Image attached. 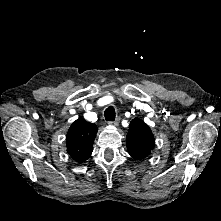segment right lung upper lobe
Here are the masks:
<instances>
[{
	"mask_svg": "<svg viewBox=\"0 0 221 221\" xmlns=\"http://www.w3.org/2000/svg\"><path fill=\"white\" fill-rule=\"evenodd\" d=\"M97 131L95 124L82 118L72 123L66 135V148L73 160L83 163L91 156Z\"/></svg>",
	"mask_w": 221,
	"mask_h": 221,
	"instance_id": "cb5924a9",
	"label": "right lung upper lobe"
}]
</instances>
